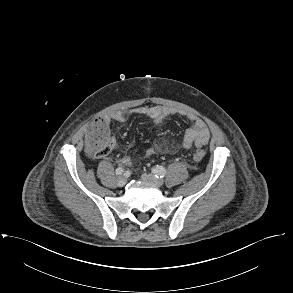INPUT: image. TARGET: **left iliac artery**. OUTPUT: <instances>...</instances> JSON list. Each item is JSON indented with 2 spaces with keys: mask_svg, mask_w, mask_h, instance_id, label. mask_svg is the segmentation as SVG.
Segmentation results:
<instances>
[{
  "mask_svg": "<svg viewBox=\"0 0 293 293\" xmlns=\"http://www.w3.org/2000/svg\"><path fill=\"white\" fill-rule=\"evenodd\" d=\"M152 172L156 175L157 178H163L166 175V169L158 165L152 168Z\"/></svg>",
  "mask_w": 293,
  "mask_h": 293,
  "instance_id": "obj_1",
  "label": "left iliac artery"
}]
</instances>
